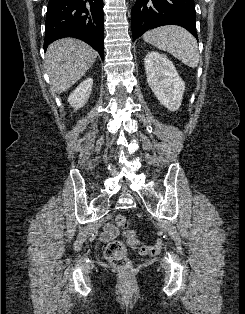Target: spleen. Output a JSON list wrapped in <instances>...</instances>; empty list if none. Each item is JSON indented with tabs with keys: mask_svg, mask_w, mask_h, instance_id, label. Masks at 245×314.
I'll use <instances>...</instances> for the list:
<instances>
[{
	"mask_svg": "<svg viewBox=\"0 0 245 314\" xmlns=\"http://www.w3.org/2000/svg\"><path fill=\"white\" fill-rule=\"evenodd\" d=\"M145 42L166 51L186 66L196 68L199 52L195 37L182 27L167 25L147 31L143 35Z\"/></svg>",
	"mask_w": 245,
	"mask_h": 314,
	"instance_id": "3e777b00",
	"label": "spleen"
}]
</instances>
